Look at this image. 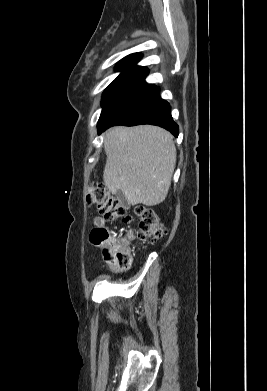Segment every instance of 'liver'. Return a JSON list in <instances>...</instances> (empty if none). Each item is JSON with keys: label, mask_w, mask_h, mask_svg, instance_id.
<instances>
[{"label": "liver", "mask_w": 267, "mask_h": 391, "mask_svg": "<svg viewBox=\"0 0 267 391\" xmlns=\"http://www.w3.org/2000/svg\"><path fill=\"white\" fill-rule=\"evenodd\" d=\"M104 184L131 205L155 206L168 194L176 164L173 136L151 125L116 126L104 134Z\"/></svg>", "instance_id": "liver-1"}]
</instances>
